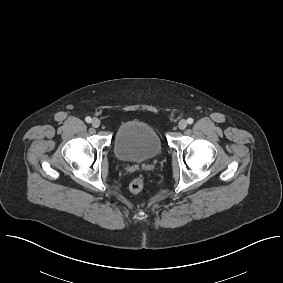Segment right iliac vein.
<instances>
[{"label":"right iliac vein","mask_w":283,"mask_h":283,"mask_svg":"<svg viewBox=\"0 0 283 283\" xmlns=\"http://www.w3.org/2000/svg\"><path fill=\"white\" fill-rule=\"evenodd\" d=\"M92 126H93L94 128H98V127L100 126V120L97 119V118H94V119L92 120Z\"/></svg>","instance_id":"obj_1"}]
</instances>
